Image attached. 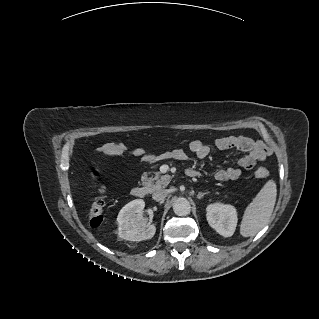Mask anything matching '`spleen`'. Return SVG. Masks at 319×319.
<instances>
[{
    "instance_id": "1",
    "label": "spleen",
    "mask_w": 319,
    "mask_h": 319,
    "mask_svg": "<svg viewBox=\"0 0 319 319\" xmlns=\"http://www.w3.org/2000/svg\"><path fill=\"white\" fill-rule=\"evenodd\" d=\"M276 197V183L269 180L244 211L240 225V234L243 237L255 236L269 222Z\"/></svg>"
}]
</instances>
